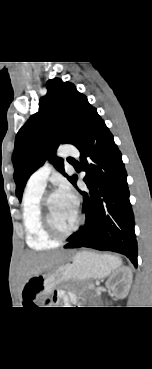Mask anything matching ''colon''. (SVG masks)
I'll list each match as a JSON object with an SVG mask.
<instances>
[{
    "mask_svg": "<svg viewBox=\"0 0 152 369\" xmlns=\"http://www.w3.org/2000/svg\"><path fill=\"white\" fill-rule=\"evenodd\" d=\"M58 299L61 300V301H63V303H65L66 302V296H65V294H62V293L59 294L58 295Z\"/></svg>",
    "mask_w": 152,
    "mask_h": 369,
    "instance_id": "5ec220e1",
    "label": "colon"
}]
</instances>
